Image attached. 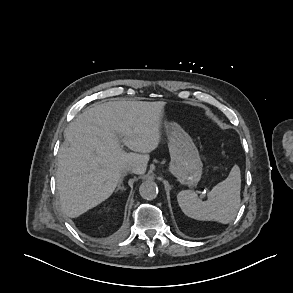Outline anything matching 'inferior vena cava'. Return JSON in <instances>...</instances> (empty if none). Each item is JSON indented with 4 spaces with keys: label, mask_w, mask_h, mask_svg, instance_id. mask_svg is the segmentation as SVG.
Here are the masks:
<instances>
[{
    "label": "inferior vena cava",
    "mask_w": 293,
    "mask_h": 293,
    "mask_svg": "<svg viewBox=\"0 0 293 293\" xmlns=\"http://www.w3.org/2000/svg\"><path fill=\"white\" fill-rule=\"evenodd\" d=\"M134 171V168L131 167V166H127L125 167L123 170H122V173L125 174L127 172H133Z\"/></svg>",
    "instance_id": "obj_1"
}]
</instances>
